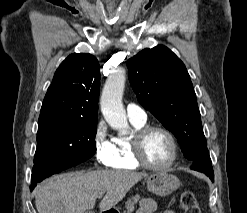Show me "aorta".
Instances as JSON below:
<instances>
[{
	"instance_id": "762f6f07",
	"label": "aorta",
	"mask_w": 247,
	"mask_h": 213,
	"mask_svg": "<svg viewBox=\"0 0 247 213\" xmlns=\"http://www.w3.org/2000/svg\"><path fill=\"white\" fill-rule=\"evenodd\" d=\"M126 72L120 68L107 79L100 99V106L107 123L121 134H127L129 124L122 104Z\"/></svg>"
}]
</instances>
